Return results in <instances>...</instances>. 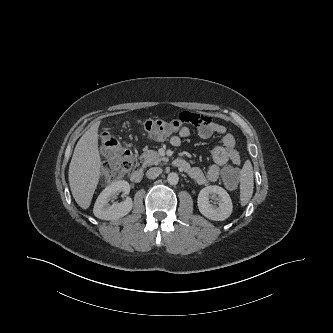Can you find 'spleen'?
Masks as SVG:
<instances>
[{
	"label": "spleen",
	"instance_id": "spleen-1",
	"mask_svg": "<svg viewBox=\"0 0 333 333\" xmlns=\"http://www.w3.org/2000/svg\"><path fill=\"white\" fill-rule=\"evenodd\" d=\"M253 180L252 165L247 161L241 172L240 202L242 206H245L252 197L254 187Z\"/></svg>",
	"mask_w": 333,
	"mask_h": 333
}]
</instances>
